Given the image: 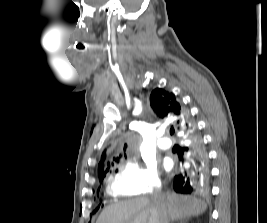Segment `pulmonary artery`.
Wrapping results in <instances>:
<instances>
[{
    "label": "pulmonary artery",
    "instance_id": "1",
    "mask_svg": "<svg viewBox=\"0 0 267 223\" xmlns=\"http://www.w3.org/2000/svg\"><path fill=\"white\" fill-rule=\"evenodd\" d=\"M157 145L159 148L161 149H169L172 145L170 139H168L167 137H160L157 141Z\"/></svg>",
    "mask_w": 267,
    "mask_h": 223
}]
</instances>
